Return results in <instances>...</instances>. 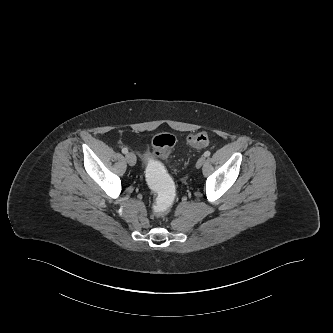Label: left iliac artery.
I'll list each match as a JSON object with an SVG mask.
<instances>
[{
    "mask_svg": "<svg viewBox=\"0 0 333 333\" xmlns=\"http://www.w3.org/2000/svg\"><path fill=\"white\" fill-rule=\"evenodd\" d=\"M210 154H211L210 151H205V152H204V156H205V157H209Z\"/></svg>",
    "mask_w": 333,
    "mask_h": 333,
    "instance_id": "44dca946",
    "label": "left iliac artery"
}]
</instances>
